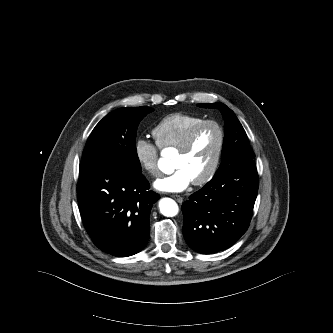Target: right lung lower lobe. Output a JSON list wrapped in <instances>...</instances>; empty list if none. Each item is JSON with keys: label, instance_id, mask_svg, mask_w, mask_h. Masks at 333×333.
I'll return each instance as SVG.
<instances>
[{"label": "right lung lower lobe", "instance_id": "98d812e1", "mask_svg": "<svg viewBox=\"0 0 333 333\" xmlns=\"http://www.w3.org/2000/svg\"><path fill=\"white\" fill-rule=\"evenodd\" d=\"M141 172L115 164H80L77 195L85 228L102 251L127 257L141 251L149 215L160 196Z\"/></svg>", "mask_w": 333, "mask_h": 333}]
</instances>
